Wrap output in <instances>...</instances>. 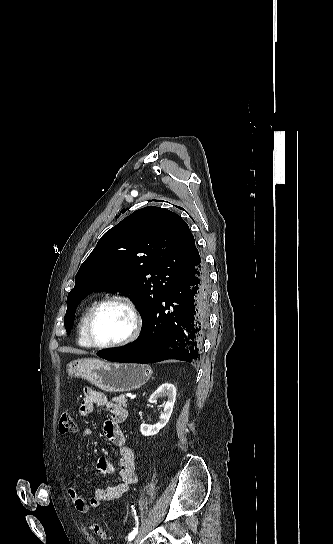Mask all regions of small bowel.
Returning <instances> with one entry per match:
<instances>
[{"mask_svg": "<svg viewBox=\"0 0 333 544\" xmlns=\"http://www.w3.org/2000/svg\"><path fill=\"white\" fill-rule=\"evenodd\" d=\"M95 406L104 407L110 413V419L104 423V433L106 438L119 449L118 473L121 481L105 488H97L88 499L81 497L74 486H69L68 496L74 508L81 514L87 513L89 509L97 508L103 501H111L123 496L129 487L138 481L134 453L130 447L126 446L125 435L120 428V424L127 417V411L121 405L110 401L103 393L85 387L79 406V414L87 416L93 412ZM90 434L91 430L89 428L83 430V436H89ZM96 467L98 472L104 475H111L116 472L113 463L103 457L97 460Z\"/></svg>", "mask_w": 333, "mask_h": 544, "instance_id": "1", "label": "small bowel"}]
</instances>
